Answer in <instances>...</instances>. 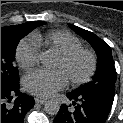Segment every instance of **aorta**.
Returning a JSON list of instances; mask_svg holds the SVG:
<instances>
[{
  "label": "aorta",
  "mask_w": 123,
  "mask_h": 123,
  "mask_svg": "<svg viewBox=\"0 0 123 123\" xmlns=\"http://www.w3.org/2000/svg\"><path fill=\"white\" fill-rule=\"evenodd\" d=\"M40 61H41V63L43 65L49 66V65H51L53 63V56L48 51L43 52L40 55ZM59 109H60V104L56 100H48V101H46L45 106H44V110L49 115H56V114H58Z\"/></svg>",
  "instance_id": "1"
}]
</instances>
